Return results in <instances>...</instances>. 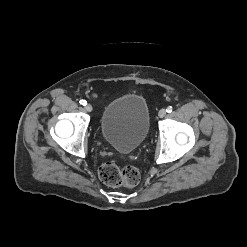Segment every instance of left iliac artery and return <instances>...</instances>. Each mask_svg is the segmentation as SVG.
Segmentation results:
<instances>
[{
  "mask_svg": "<svg viewBox=\"0 0 247 247\" xmlns=\"http://www.w3.org/2000/svg\"><path fill=\"white\" fill-rule=\"evenodd\" d=\"M172 110H173L172 106H169V107H167L166 112L170 113V112H172Z\"/></svg>",
  "mask_w": 247,
  "mask_h": 247,
  "instance_id": "left-iliac-artery-1",
  "label": "left iliac artery"
}]
</instances>
